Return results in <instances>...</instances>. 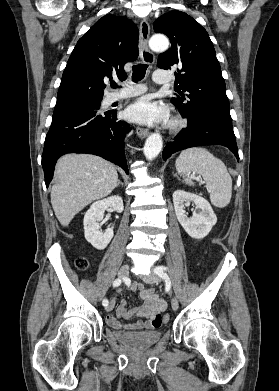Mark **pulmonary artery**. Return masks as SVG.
<instances>
[{
  "label": "pulmonary artery",
  "instance_id": "1",
  "mask_svg": "<svg viewBox=\"0 0 279 391\" xmlns=\"http://www.w3.org/2000/svg\"><path fill=\"white\" fill-rule=\"evenodd\" d=\"M153 80L156 83L164 84V83H168L170 81V77L164 71L158 70L154 73ZM144 91H145L144 86H138L136 88L125 90L122 92L112 93L107 97V102L112 103V102H115L120 99L133 97V96H136V95L143 93Z\"/></svg>",
  "mask_w": 279,
  "mask_h": 391
}]
</instances>
